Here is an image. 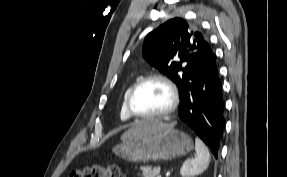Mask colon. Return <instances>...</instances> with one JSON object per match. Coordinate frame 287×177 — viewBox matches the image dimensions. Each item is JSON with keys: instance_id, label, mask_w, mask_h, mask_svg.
<instances>
[{"instance_id": "1", "label": "colon", "mask_w": 287, "mask_h": 177, "mask_svg": "<svg viewBox=\"0 0 287 177\" xmlns=\"http://www.w3.org/2000/svg\"><path fill=\"white\" fill-rule=\"evenodd\" d=\"M70 177H126L115 164H93L82 169L72 171Z\"/></svg>"}]
</instances>
